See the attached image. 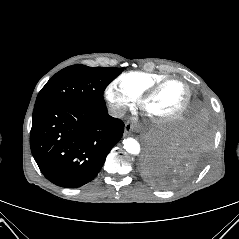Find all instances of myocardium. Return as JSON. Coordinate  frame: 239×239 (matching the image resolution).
Segmentation results:
<instances>
[{
  "instance_id": "obj_1",
  "label": "myocardium",
  "mask_w": 239,
  "mask_h": 239,
  "mask_svg": "<svg viewBox=\"0 0 239 239\" xmlns=\"http://www.w3.org/2000/svg\"><path fill=\"white\" fill-rule=\"evenodd\" d=\"M172 82L182 83L187 90V96H186V99H185L184 103L182 104V106L176 112H174L170 115H166V116H156V115L149 114L145 109L147 102L149 100H151L163 87H165L167 84L172 83ZM191 99H192V89H191V86L186 81L179 79V78H175V77H167V78L157 82L150 88H148L141 95V97L139 99V107H140L141 111L144 113V115L146 117H148V119L150 121H152L153 123H166V122L174 121V120L180 118L189 108Z\"/></svg>"
}]
</instances>
